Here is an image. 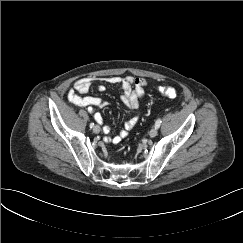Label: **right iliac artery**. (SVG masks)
<instances>
[{
	"mask_svg": "<svg viewBox=\"0 0 243 243\" xmlns=\"http://www.w3.org/2000/svg\"><path fill=\"white\" fill-rule=\"evenodd\" d=\"M90 128H93L94 127V123H90Z\"/></svg>",
	"mask_w": 243,
	"mask_h": 243,
	"instance_id": "1",
	"label": "right iliac artery"
}]
</instances>
